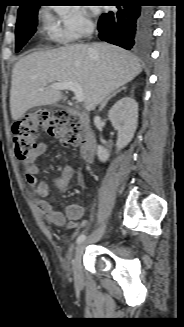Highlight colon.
<instances>
[{"mask_svg": "<svg viewBox=\"0 0 184 327\" xmlns=\"http://www.w3.org/2000/svg\"><path fill=\"white\" fill-rule=\"evenodd\" d=\"M41 130L64 145L82 146L85 133L79 120L63 109H38L24 115L12 126V138L15 154L20 160H26L34 151Z\"/></svg>", "mask_w": 184, "mask_h": 327, "instance_id": "colon-1", "label": "colon"}]
</instances>
